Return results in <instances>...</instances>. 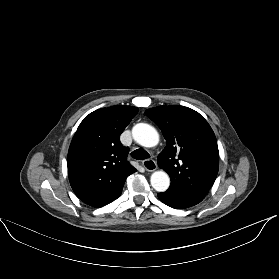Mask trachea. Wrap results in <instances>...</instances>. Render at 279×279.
<instances>
[{
  "label": "trachea",
  "instance_id": "3493384b",
  "mask_svg": "<svg viewBox=\"0 0 279 279\" xmlns=\"http://www.w3.org/2000/svg\"><path fill=\"white\" fill-rule=\"evenodd\" d=\"M131 156L137 160H144V159H148L150 157L149 154L142 149H137V150L133 151L131 153Z\"/></svg>",
  "mask_w": 279,
  "mask_h": 279
}]
</instances>
